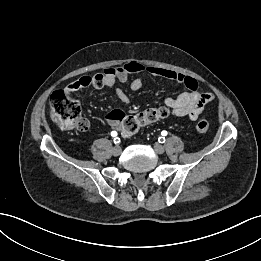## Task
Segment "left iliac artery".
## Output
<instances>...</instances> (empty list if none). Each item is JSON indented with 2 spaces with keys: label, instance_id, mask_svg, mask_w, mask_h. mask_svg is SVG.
<instances>
[{
  "label": "left iliac artery",
  "instance_id": "obj_1",
  "mask_svg": "<svg viewBox=\"0 0 261 261\" xmlns=\"http://www.w3.org/2000/svg\"><path fill=\"white\" fill-rule=\"evenodd\" d=\"M162 136H166L167 135V131H162L161 132ZM159 142L160 143H164L165 142V138L164 137H159Z\"/></svg>",
  "mask_w": 261,
  "mask_h": 261
}]
</instances>
